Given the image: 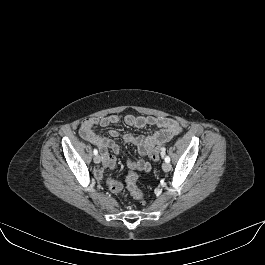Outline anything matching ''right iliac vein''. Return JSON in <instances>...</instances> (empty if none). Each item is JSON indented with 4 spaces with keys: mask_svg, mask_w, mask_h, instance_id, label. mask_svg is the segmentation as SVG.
<instances>
[{
    "mask_svg": "<svg viewBox=\"0 0 265 265\" xmlns=\"http://www.w3.org/2000/svg\"><path fill=\"white\" fill-rule=\"evenodd\" d=\"M100 161H101V157H100L99 155H95V157H94V162H95L96 164H98V163H100Z\"/></svg>",
    "mask_w": 265,
    "mask_h": 265,
    "instance_id": "obj_1",
    "label": "right iliac vein"
}]
</instances>
